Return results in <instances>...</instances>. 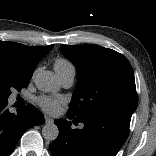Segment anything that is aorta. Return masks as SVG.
Returning <instances> with one entry per match:
<instances>
[{
    "mask_svg": "<svg viewBox=\"0 0 156 156\" xmlns=\"http://www.w3.org/2000/svg\"><path fill=\"white\" fill-rule=\"evenodd\" d=\"M34 82L38 90L43 92H50L57 88L55 77L50 71L37 73ZM58 134L59 129L53 122L46 123L42 128V136L48 141H54Z\"/></svg>",
    "mask_w": 156,
    "mask_h": 156,
    "instance_id": "762f6f07",
    "label": "aorta"
}]
</instances>
